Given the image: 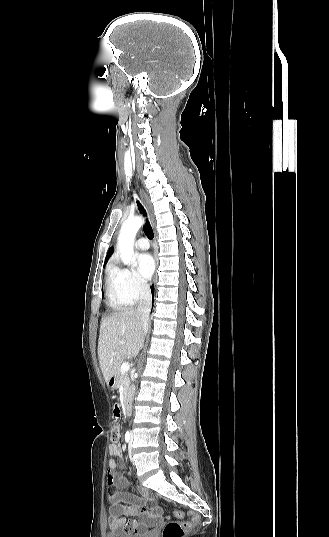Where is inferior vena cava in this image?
<instances>
[{
  "label": "inferior vena cava",
  "mask_w": 329,
  "mask_h": 537,
  "mask_svg": "<svg viewBox=\"0 0 329 537\" xmlns=\"http://www.w3.org/2000/svg\"><path fill=\"white\" fill-rule=\"evenodd\" d=\"M151 303H152V296H151L150 286L148 284H143L141 285V288H140V301H139V305L137 308V312L141 316L144 331H146L148 327V319H149V314L151 311Z\"/></svg>",
  "instance_id": "obj_1"
}]
</instances>
